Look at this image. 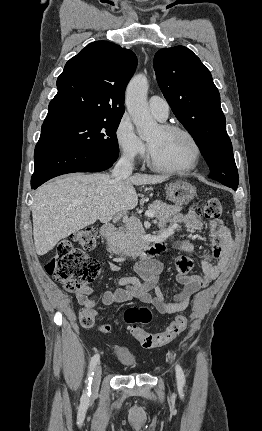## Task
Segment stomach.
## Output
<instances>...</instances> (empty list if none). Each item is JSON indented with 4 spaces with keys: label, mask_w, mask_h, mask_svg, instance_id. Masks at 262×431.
Masks as SVG:
<instances>
[{
    "label": "stomach",
    "mask_w": 262,
    "mask_h": 431,
    "mask_svg": "<svg viewBox=\"0 0 262 431\" xmlns=\"http://www.w3.org/2000/svg\"><path fill=\"white\" fill-rule=\"evenodd\" d=\"M167 198L176 205L188 204L195 196L196 189L188 182L177 180L166 188Z\"/></svg>",
    "instance_id": "obj_1"
}]
</instances>
